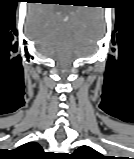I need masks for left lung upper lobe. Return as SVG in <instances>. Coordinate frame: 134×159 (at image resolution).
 Returning a JSON list of instances; mask_svg holds the SVG:
<instances>
[{
  "instance_id": "1",
  "label": "left lung upper lobe",
  "mask_w": 134,
  "mask_h": 159,
  "mask_svg": "<svg viewBox=\"0 0 134 159\" xmlns=\"http://www.w3.org/2000/svg\"><path fill=\"white\" fill-rule=\"evenodd\" d=\"M70 159H107L99 152L89 146H81L71 156Z\"/></svg>"
}]
</instances>
